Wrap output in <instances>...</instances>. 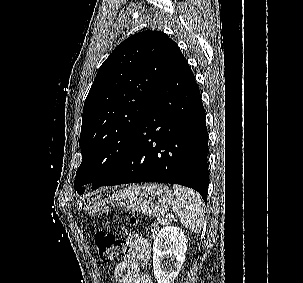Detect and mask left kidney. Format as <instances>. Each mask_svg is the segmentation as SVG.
<instances>
[{
    "label": "left kidney",
    "instance_id": "obj_1",
    "mask_svg": "<svg viewBox=\"0 0 303 283\" xmlns=\"http://www.w3.org/2000/svg\"><path fill=\"white\" fill-rule=\"evenodd\" d=\"M187 239L178 227L160 230L153 242V270L158 283H171L185 260Z\"/></svg>",
    "mask_w": 303,
    "mask_h": 283
}]
</instances>
